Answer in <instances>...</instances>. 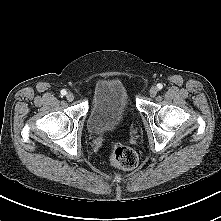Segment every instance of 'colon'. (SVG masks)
<instances>
[{
	"label": "colon",
	"mask_w": 221,
	"mask_h": 221,
	"mask_svg": "<svg viewBox=\"0 0 221 221\" xmlns=\"http://www.w3.org/2000/svg\"><path fill=\"white\" fill-rule=\"evenodd\" d=\"M110 160L115 166L121 169L131 170L138 164V155L129 146L115 144L110 152Z\"/></svg>",
	"instance_id": "colon-1"
}]
</instances>
